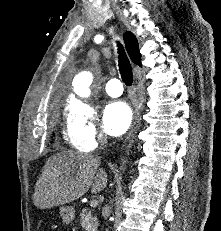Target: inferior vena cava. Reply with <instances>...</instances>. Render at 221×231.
<instances>
[{
	"instance_id": "inferior-vena-cava-1",
	"label": "inferior vena cava",
	"mask_w": 221,
	"mask_h": 231,
	"mask_svg": "<svg viewBox=\"0 0 221 231\" xmlns=\"http://www.w3.org/2000/svg\"><path fill=\"white\" fill-rule=\"evenodd\" d=\"M106 143H107V136L103 134V135L100 136V144L103 146ZM106 209L109 211L108 206H106ZM105 231H109V230L106 228Z\"/></svg>"
}]
</instances>
